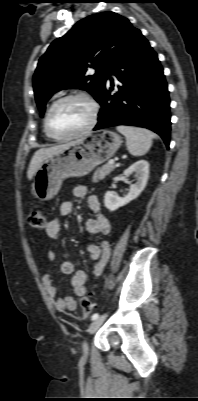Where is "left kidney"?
Segmentation results:
<instances>
[{"label":"left kidney","mask_w":198,"mask_h":401,"mask_svg":"<svg viewBox=\"0 0 198 401\" xmlns=\"http://www.w3.org/2000/svg\"><path fill=\"white\" fill-rule=\"evenodd\" d=\"M132 173L135 174L134 176L137 179V182L130 186L129 192L125 197L121 198L112 191H107L105 193L104 204L108 210L115 211L136 199L141 194L147 184L149 176L148 162L145 160H139L124 171L125 176H129Z\"/></svg>","instance_id":"1"}]
</instances>
